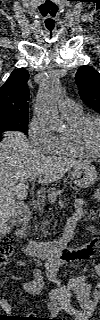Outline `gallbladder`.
<instances>
[{
  "label": "gallbladder",
  "mask_w": 100,
  "mask_h": 320,
  "mask_svg": "<svg viewBox=\"0 0 100 320\" xmlns=\"http://www.w3.org/2000/svg\"><path fill=\"white\" fill-rule=\"evenodd\" d=\"M15 220V217L13 216L10 220H9V223H13Z\"/></svg>",
  "instance_id": "bac80fb5"
}]
</instances>
